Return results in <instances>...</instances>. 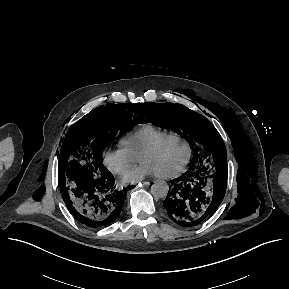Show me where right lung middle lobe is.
<instances>
[{
  "instance_id": "obj_1",
  "label": "right lung middle lobe",
  "mask_w": 289,
  "mask_h": 289,
  "mask_svg": "<svg viewBox=\"0 0 289 289\" xmlns=\"http://www.w3.org/2000/svg\"><path fill=\"white\" fill-rule=\"evenodd\" d=\"M140 103L115 104L96 108L76 122L63 141L58 182L61 193L89 182L109 170L102 162V153L116 134L122 135L138 124L134 117Z\"/></svg>"
}]
</instances>
